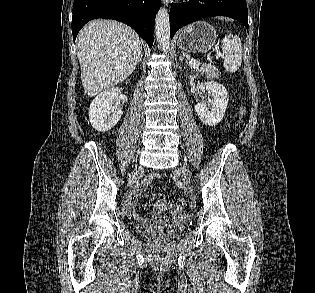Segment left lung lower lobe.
Masks as SVG:
<instances>
[{
	"label": "left lung lower lobe",
	"instance_id": "left-lung-lower-lobe-1",
	"mask_svg": "<svg viewBox=\"0 0 315 293\" xmlns=\"http://www.w3.org/2000/svg\"><path fill=\"white\" fill-rule=\"evenodd\" d=\"M214 16L231 17L240 21L248 29V11L245 0H189L171 5L169 14L171 39L181 27Z\"/></svg>",
	"mask_w": 315,
	"mask_h": 293
}]
</instances>
